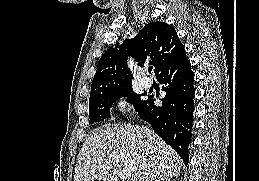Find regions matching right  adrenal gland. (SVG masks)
Masks as SVG:
<instances>
[{
  "label": "right adrenal gland",
  "instance_id": "right-adrenal-gland-1",
  "mask_svg": "<svg viewBox=\"0 0 259 181\" xmlns=\"http://www.w3.org/2000/svg\"><path fill=\"white\" fill-rule=\"evenodd\" d=\"M156 181H171L170 178H165V177H159L158 180Z\"/></svg>",
  "mask_w": 259,
  "mask_h": 181
}]
</instances>
